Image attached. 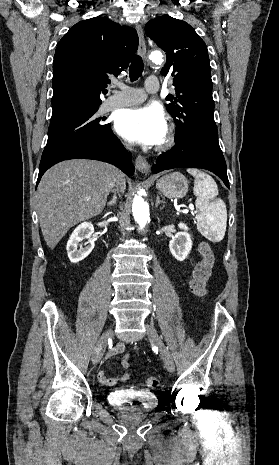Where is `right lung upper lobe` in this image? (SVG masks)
Instances as JSON below:
<instances>
[{
  "label": "right lung upper lobe",
  "instance_id": "obj_1",
  "mask_svg": "<svg viewBox=\"0 0 279 465\" xmlns=\"http://www.w3.org/2000/svg\"><path fill=\"white\" fill-rule=\"evenodd\" d=\"M137 47L136 30L106 17L75 24L55 51L50 125L99 108L109 76L128 67Z\"/></svg>",
  "mask_w": 279,
  "mask_h": 465
}]
</instances>
